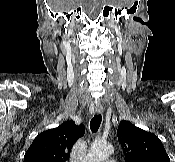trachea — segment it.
<instances>
[{
    "label": "trachea",
    "instance_id": "1",
    "mask_svg": "<svg viewBox=\"0 0 175 162\" xmlns=\"http://www.w3.org/2000/svg\"><path fill=\"white\" fill-rule=\"evenodd\" d=\"M102 121L101 114L95 115L90 121V129L92 133H96L100 127Z\"/></svg>",
    "mask_w": 175,
    "mask_h": 162
}]
</instances>
